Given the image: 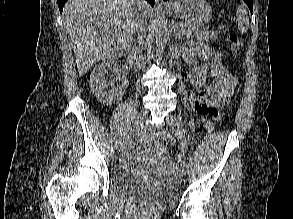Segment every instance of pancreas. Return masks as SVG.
Returning a JSON list of instances; mask_svg holds the SVG:
<instances>
[{
  "label": "pancreas",
  "instance_id": "cf45deb5",
  "mask_svg": "<svg viewBox=\"0 0 293 219\" xmlns=\"http://www.w3.org/2000/svg\"><path fill=\"white\" fill-rule=\"evenodd\" d=\"M179 32L189 38L195 37L199 41H215L217 39L219 31H208L201 29L192 23H178Z\"/></svg>",
  "mask_w": 293,
  "mask_h": 219
}]
</instances>
